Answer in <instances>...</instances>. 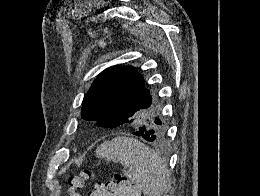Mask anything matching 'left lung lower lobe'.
Returning a JSON list of instances; mask_svg holds the SVG:
<instances>
[{"mask_svg":"<svg viewBox=\"0 0 260 196\" xmlns=\"http://www.w3.org/2000/svg\"><path fill=\"white\" fill-rule=\"evenodd\" d=\"M134 114V109L132 107H119L111 106L103 115L97 120V124L102 126H117L121 125ZM132 133L137 136L143 137L145 140L152 142L153 135L152 131L148 125H141L133 129Z\"/></svg>","mask_w":260,"mask_h":196,"instance_id":"0a47b994","label":"left lung lower lobe"}]
</instances>
